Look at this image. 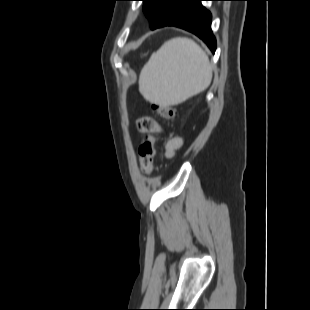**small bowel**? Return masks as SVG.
<instances>
[{
  "label": "small bowel",
  "mask_w": 310,
  "mask_h": 310,
  "mask_svg": "<svg viewBox=\"0 0 310 310\" xmlns=\"http://www.w3.org/2000/svg\"><path fill=\"white\" fill-rule=\"evenodd\" d=\"M138 127L142 132H160L159 124L151 117H142L138 121ZM183 144V139L175 137L165 143V153L167 156H172Z\"/></svg>",
  "instance_id": "c3829d8e"
}]
</instances>
